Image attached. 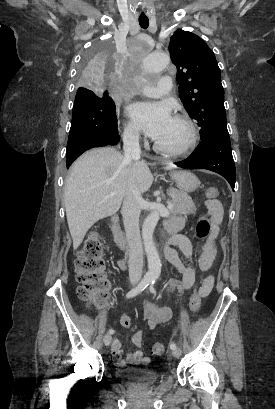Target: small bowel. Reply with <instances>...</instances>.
Wrapping results in <instances>:
<instances>
[{"label": "small bowel", "instance_id": "obj_1", "mask_svg": "<svg viewBox=\"0 0 275 409\" xmlns=\"http://www.w3.org/2000/svg\"><path fill=\"white\" fill-rule=\"evenodd\" d=\"M202 205L206 208L210 220H211V232L205 243L201 246L200 255L198 258L199 269L201 271H208L216 256V238L219 232V226L222 221L223 209L220 202H212L205 200ZM178 220L179 219H173ZM171 245L177 246L185 259V264L174 248L169 247V254L166 255L167 260L171 265L181 274V281H168L166 286L169 290L177 292L178 296H182L185 292L190 291L195 284L196 275L195 270L191 266V260L193 256V247L191 241L182 234H174L170 240ZM214 285V278L208 276L203 285L201 286L206 294H209ZM141 312L148 329H154L159 324L167 322L171 317V310L167 306H160L150 302L141 303ZM121 318V326L123 328H131L133 325L132 320L123 315ZM133 341L137 346H141L143 341V333L138 331L133 336ZM111 353L113 361L117 366L123 367L129 364L141 363L148 365L150 359L143 357L141 351L129 353L126 356L122 355L121 343L118 339H115L112 343Z\"/></svg>", "mask_w": 275, "mask_h": 409}]
</instances>
